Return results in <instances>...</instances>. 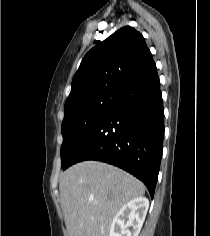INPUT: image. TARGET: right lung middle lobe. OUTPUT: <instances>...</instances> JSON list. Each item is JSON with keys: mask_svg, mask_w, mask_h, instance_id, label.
I'll list each match as a JSON object with an SVG mask.
<instances>
[{"mask_svg": "<svg viewBox=\"0 0 210 236\" xmlns=\"http://www.w3.org/2000/svg\"><path fill=\"white\" fill-rule=\"evenodd\" d=\"M121 92H105L83 100L65 111L62 122L61 166L64 167L88 133L112 109Z\"/></svg>", "mask_w": 210, "mask_h": 236, "instance_id": "dd1d6c3e", "label": "right lung middle lobe"}]
</instances>
